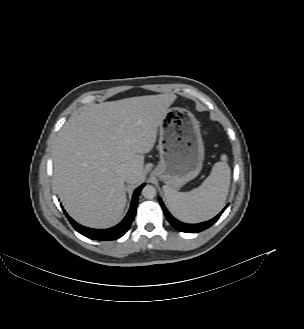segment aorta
Listing matches in <instances>:
<instances>
[{"instance_id":"1","label":"aorta","mask_w":304,"mask_h":329,"mask_svg":"<svg viewBox=\"0 0 304 329\" xmlns=\"http://www.w3.org/2000/svg\"><path fill=\"white\" fill-rule=\"evenodd\" d=\"M142 195L146 198V199H153L156 196V189L154 186L152 185H146L143 189H142Z\"/></svg>"}]
</instances>
